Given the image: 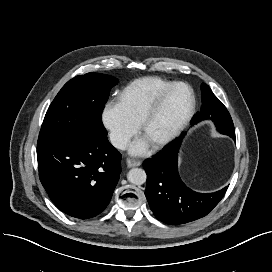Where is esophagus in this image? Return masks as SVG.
<instances>
[{
  "label": "esophagus",
  "mask_w": 272,
  "mask_h": 272,
  "mask_svg": "<svg viewBox=\"0 0 272 272\" xmlns=\"http://www.w3.org/2000/svg\"><path fill=\"white\" fill-rule=\"evenodd\" d=\"M126 164H127V166L129 168H131V167H137V166L141 165V161L138 160V159H131V158H129V159L126 160Z\"/></svg>",
  "instance_id": "obj_1"
}]
</instances>
